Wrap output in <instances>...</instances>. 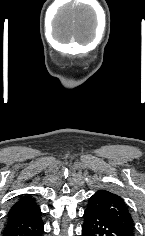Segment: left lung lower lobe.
<instances>
[{"mask_svg": "<svg viewBox=\"0 0 145 236\" xmlns=\"http://www.w3.org/2000/svg\"><path fill=\"white\" fill-rule=\"evenodd\" d=\"M83 236H131L124 228L112 220L90 209L84 212Z\"/></svg>", "mask_w": 145, "mask_h": 236, "instance_id": "1", "label": "left lung lower lobe"}]
</instances>
